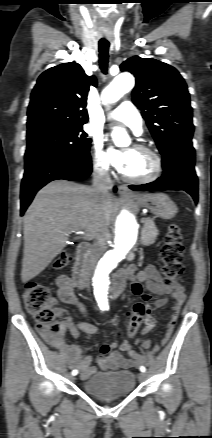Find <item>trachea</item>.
Returning <instances> with one entry per match:
<instances>
[{
  "mask_svg": "<svg viewBox=\"0 0 212 438\" xmlns=\"http://www.w3.org/2000/svg\"><path fill=\"white\" fill-rule=\"evenodd\" d=\"M109 43H99V65L104 74H107V67L109 62Z\"/></svg>",
  "mask_w": 212,
  "mask_h": 438,
  "instance_id": "obj_1",
  "label": "trachea"
}]
</instances>
